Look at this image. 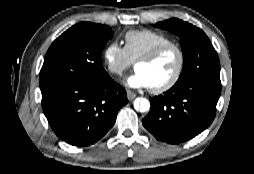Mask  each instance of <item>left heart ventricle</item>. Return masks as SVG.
Instances as JSON below:
<instances>
[{"instance_id": "b2bd125f", "label": "left heart ventricle", "mask_w": 254, "mask_h": 174, "mask_svg": "<svg viewBox=\"0 0 254 174\" xmlns=\"http://www.w3.org/2000/svg\"><path fill=\"white\" fill-rule=\"evenodd\" d=\"M178 65V55L168 50L151 63H138L136 69L144 72L150 80L151 87H158L168 82Z\"/></svg>"}]
</instances>
